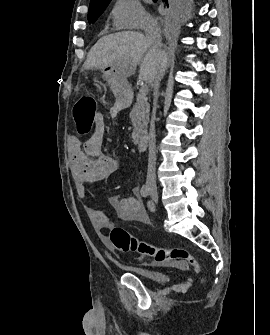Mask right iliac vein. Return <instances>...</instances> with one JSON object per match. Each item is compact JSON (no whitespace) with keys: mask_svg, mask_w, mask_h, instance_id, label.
I'll return each mask as SVG.
<instances>
[{"mask_svg":"<svg viewBox=\"0 0 270 335\" xmlns=\"http://www.w3.org/2000/svg\"><path fill=\"white\" fill-rule=\"evenodd\" d=\"M150 190H151V193H152L153 195H157V192H156V190H155L154 188H150Z\"/></svg>","mask_w":270,"mask_h":335,"instance_id":"obj_1","label":"right iliac vein"}]
</instances>
